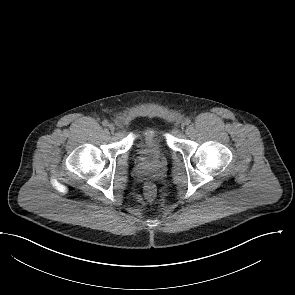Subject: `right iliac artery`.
<instances>
[{"label": "right iliac artery", "instance_id": "1", "mask_svg": "<svg viewBox=\"0 0 295 295\" xmlns=\"http://www.w3.org/2000/svg\"><path fill=\"white\" fill-rule=\"evenodd\" d=\"M102 125L105 126V127H107V126H109V122H108L107 120H104V121L102 122Z\"/></svg>", "mask_w": 295, "mask_h": 295}]
</instances>
